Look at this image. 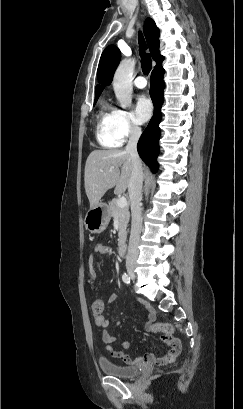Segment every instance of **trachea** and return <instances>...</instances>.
Listing matches in <instances>:
<instances>
[{
	"mask_svg": "<svg viewBox=\"0 0 243 409\" xmlns=\"http://www.w3.org/2000/svg\"><path fill=\"white\" fill-rule=\"evenodd\" d=\"M139 52L141 57L142 71L145 75H148L152 68L151 56L150 53L147 52V45L141 33H139Z\"/></svg>",
	"mask_w": 243,
	"mask_h": 409,
	"instance_id": "obj_1",
	"label": "trachea"
}]
</instances>
